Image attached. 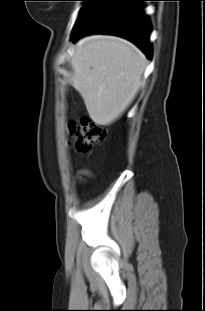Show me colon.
I'll use <instances>...</instances> for the list:
<instances>
[{"label": "colon", "instance_id": "1", "mask_svg": "<svg viewBox=\"0 0 205 311\" xmlns=\"http://www.w3.org/2000/svg\"><path fill=\"white\" fill-rule=\"evenodd\" d=\"M70 132L75 149L82 154L92 152L94 145L106 137V129L86 116L71 123Z\"/></svg>", "mask_w": 205, "mask_h": 311}]
</instances>
